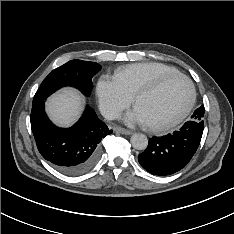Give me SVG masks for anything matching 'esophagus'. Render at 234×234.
Returning a JSON list of instances; mask_svg holds the SVG:
<instances>
[{"mask_svg": "<svg viewBox=\"0 0 234 234\" xmlns=\"http://www.w3.org/2000/svg\"><path fill=\"white\" fill-rule=\"evenodd\" d=\"M115 131L119 132L121 134H125V135H130L132 133L130 130H127V129L122 128V127H116Z\"/></svg>", "mask_w": 234, "mask_h": 234, "instance_id": "esophagus-1", "label": "esophagus"}]
</instances>
